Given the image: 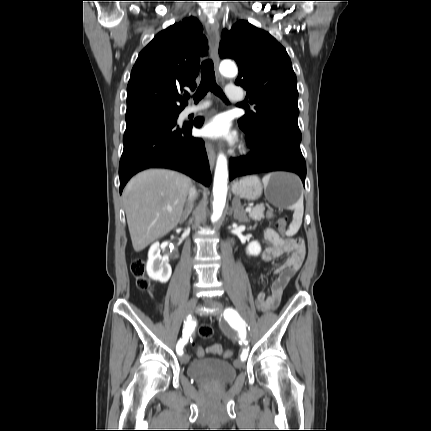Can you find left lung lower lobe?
<instances>
[{
    "label": "left lung lower lobe",
    "mask_w": 431,
    "mask_h": 431,
    "mask_svg": "<svg viewBox=\"0 0 431 431\" xmlns=\"http://www.w3.org/2000/svg\"><path fill=\"white\" fill-rule=\"evenodd\" d=\"M247 135L251 151L230 159V180L260 172L289 171L297 173L305 185L306 164L300 150L299 129L269 124L259 133Z\"/></svg>",
    "instance_id": "0a47b994"
}]
</instances>
